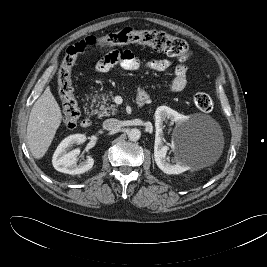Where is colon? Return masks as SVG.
<instances>
[{
	"instance_id": "obj_1",
	"label": "colon",
	"mask_w": 267,
	"mask_h": 267,
	"mask_svg": "<svg viewBox=\"0 0 267 267\" xmlns=\"http://www.w3.org/2000/svg\"><path fill=\"white\" fill-rule=\"evenodd\" d=\"M137 43L152 47L156 51L178 58L180 61H187L191 56L188 43L180 38L161 30H135L124 28L120 31L108 33L102 37H87L80 42L69 46L62 60L58 71V92L63 106V122L68 128L76 126L80 117V110L75 98L72 83V68L76 63L79 54L85 51L96 50L97 48ZM193 103L202 112H209L213 108L211 96L204 92L195 94Z\"/></svg>"
}]
</instances>
